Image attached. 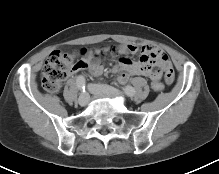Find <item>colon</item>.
Masks as SVG:
<instances>
[{"mask_svg": "<svg viewBox=\"0 0 219 174\" xmlns=\"http://www.w3.org/2000/svg\"><path fill=\"white\" fill-rule=\"evenodd\" d=\"M121 51L116 46L101 47L99 49H82L81 51L61 52L55 51L50 54L42 70V87L47 93L57 92L68 75L80 66L81 61H76L81 57H95L105 53L118 55ZM155 93H160L164 89L162 82L152 83Z\"/></svg>", "mask_w": 219, "mask_h": 174, "instance_id": "obj_1", "label": "colon"}]
</instances>
